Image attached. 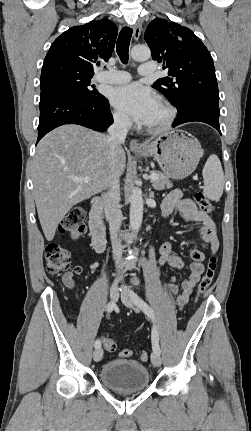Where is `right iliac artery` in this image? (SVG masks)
I'll return each mask as SVG.
<instances>
[{
  "label": "right iliac artery",
  "mask_w": 251,
  "mask_h": 431,
  "mask_svg": "<svg viewBox=\"0 0 251 431\" xmlns=\"http://www.w3.org/2000/svg\"><path fill=\"white\" fill-rule=\"evenodd\" d=\"M115 307H116L115 303H114V302H110V303L107 305V312H108V313L112 312V311L115 309ZM94 346H95V348H99V347L101 346V342H100V340H99V339H97V340L95 341Z\"/></svg>",
  "instance_id": "82829eb1"
}]
</instances>
